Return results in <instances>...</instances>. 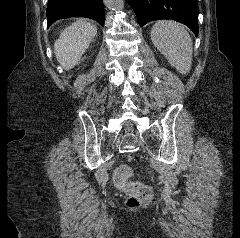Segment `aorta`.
Returning <instances> with one entry per match:
<instances>
[{
    "mask_svg": "<svg viewBox=\"0 0 240 238\" xmlns=\"http://www.w3.org/2000/svg\"><path fill=\"white\" fill-rule=\"evenodd\" d=\"M109 8L121 10L124 7V0H105Z\"/></svg>",
    "mask_w": 240,
    "mask_h": 238,
    "instance_id": "aorta-1",
    "label": "aorta"
}]
</instances>
